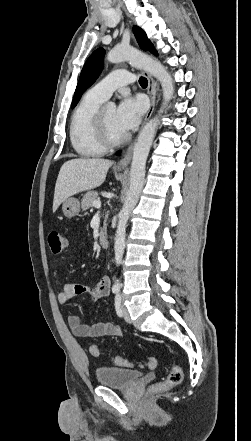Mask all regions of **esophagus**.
I'll return each instance as SVG.
<instances>
[{"label":"esophagus","mask_w":251,"mask_h":441,"mask_svg":"<svg viewBox=\"0 0 251 441\" xmlns=\"http://www.w3.org/2000/svg\"><path fill=\"white\" fill-rule=\"evenodd\" d=\"M145 76L147 77L148 80V88H147V92L150 98V108L145 116V122L149 120V118L151 117L154 108H155V101H156V82L153 79V77L145 72ZM133 147H134V142L131 143L128 148L125 151L124 156L122 157V159L116 164V167L119 169H125L128 167L131 158H132V152H133Z\"/></svg>","instance_id":"obj_1"}]
</instances>
